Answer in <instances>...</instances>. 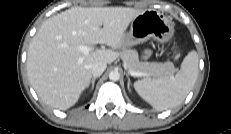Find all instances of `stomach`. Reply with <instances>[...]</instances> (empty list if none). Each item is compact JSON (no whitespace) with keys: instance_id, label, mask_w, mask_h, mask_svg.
Listing matches in <instances>:
<instances>
[{"instance_id":"stomach-1","label":"stomach","mask_w":231,"mask_h":134,"mask_svg":"<svg viewBox=\"0 0 231 134\" xmlns=\"http://www.w3.org/2000/svg\"><path fill=\"white\" fill-rule=\"evenodd\" d=\"M174 35V26L169 18L155 10H145L136 16L125 33L123 48L131 47L149 39L161 43L169 41Z\"/></svg>"}]
</instances>
